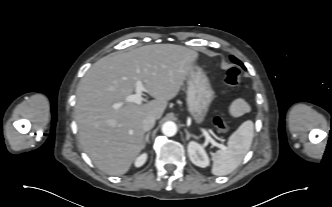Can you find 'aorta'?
Returning <instances> with one entry per match:
<instances>
[{
    "label": "aorta",
    "instance_id": "1",
    "mask_svg": "<svg viewBox=\"0 0 332 207\" xmlns=\"http://www.w3.org/2000/svg\"><path fill=\"white\" fill-rule=\"evenodd\" d=\"M162 133L166 136H174L177 133V126L172 121H167L162 125Z\"/></svg>",
    "mask_w": 332,
    "mask_h": 207
}]
</instances>
